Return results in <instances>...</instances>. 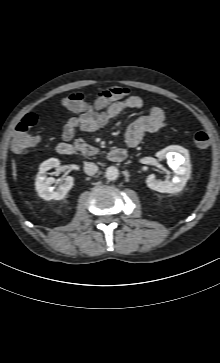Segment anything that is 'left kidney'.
<instances>
[{"mask_svg":"<svg viewBox=\"0 0 220 363\" xmlns=\"http://www.w3.org/2000/svg\"><path fill=\"white\" fill-rule=\"evenodd\" d=\"M158 158H167V163L172 168L174 177L171 181H159L154 174L146 178L147 186L160 193H175L182 190L190 177L191 165L189 153L181 146H168L156 153Z\"/></svg>","mask_w":220,"mask_h":363,"instance_id":"1","label":"left kidney"}]
</instances>
